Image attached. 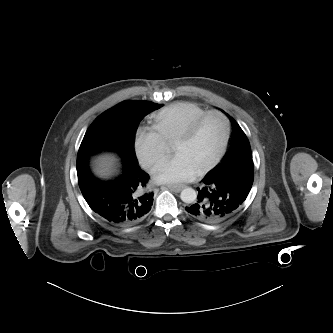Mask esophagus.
Returning a JSON list of instances; mask_svg holds the SVG:
<instances>
[{
    "label": "esophagus",
    "mask_w": 333,
    "mask_h": 333,
    "mask_svg": "<svg viewBox=\"0 0 333 333\" xmlns=\"http://www.w3.org/2000/svg\"><path fill=\"white\" fill-rule=\"evenodd\" d=\"M173 192H180L185 186L184 185H168L167 186Z\"/></svg>",
    "instance_id": "obj_1"
}]
</instances>
